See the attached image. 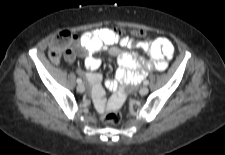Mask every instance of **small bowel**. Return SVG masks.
Instances as JSON below:
<instances>
[{
  "label": "small bowel",
  "mask_w": 225,
  "mask_h": 155,
  "mask_svg": "<svg viewBox=\"0 0 225 155\" xmlns=\"http://www.w3.org/2000/svg\"><path fill=\"white\" fill-rule=\"evenodd\" d=\"M117 43L123 46L135 44L129 37H117L109 28L87 31L73 37L70 42V53L65 57L68 62L74 60V55H78L84 60V64L89 70L85 74V78L93 88L95 107L100 113H103L108 106L117 112L122 111L127 99V86L139 83L146 76L148 70H165L168 61L174 54V46L166 37L145 40L139 43V46L149 55L151 61L142 67V61L135 52L120 49L116 46ZM105 49L108 50L110 56L117 59L119 65L116 81L106 82V86L115 92L109 104L104 98V90L101 85L102 76L95 72L101 65V59L94 54Z\"/></svg>",
  "instance_id": "c3829d8e"
}]
</instances>
